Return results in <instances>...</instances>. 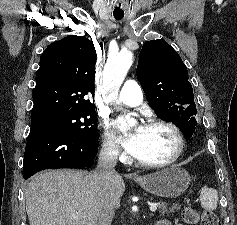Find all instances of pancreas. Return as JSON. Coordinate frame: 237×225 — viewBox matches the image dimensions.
Returning <instances> with one entry per match:
<instances>
[{
  "label": "pancreas",
  "instance_id": "1",
  "mask_svg": "<svg viewBox=\"0 0 237 225\" xmlns=\"http://www.w3.org/2000/svg\"><path fill=\"white\" fill-rule=\"evenodd\" d=\"M159 213L161 216L169 215L171 213H174L175 210H180L179 204H173L172 206H169L168 204L162 202L158 204Z\"/></svg>",
  "mask_w": 237,
  "mask_h": 225
}]
</instances>
